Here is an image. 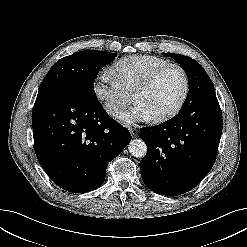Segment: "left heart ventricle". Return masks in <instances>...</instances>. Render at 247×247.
<instances>
[{
	"instance_id": "left-heart-ventricle-1",
	"label": "left heart ventricle",
	"mask_w": 247,
	"mask_h": 247,
	"mask_svg": "<svg viewBox=\"0 0 247 247\" xmlns=\"http://www.w3.org/2000/svg\"><path fill=\"white\" fill-rule=\"evenodd\" d=\"M184 88L181 72L171 68L163 72L145 91L141 92L136 103L142 104L153 117L169 111L178 102Z\"/></svg>"
}]
</instances>
